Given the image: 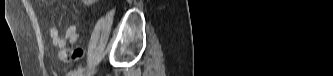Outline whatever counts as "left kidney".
<instances>
[{
  "label": "left kidney",
  "instance_id": "1",
  "mask_svg": "<svg viewBox=\"0 0 333 76\" xmlns=\"http://www.w3.org/2000/svg\"><path fill=\"white\" fill-rule=\"evenodd\" d=\"M84 2H87V1H84ZM90 2H95V0H91Z\"/></svg>",
  "mask_w": 333,
  "mask_h": 76
}]
</instances>
